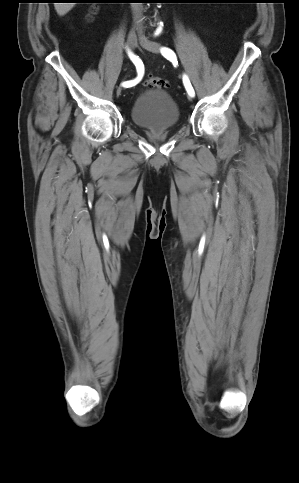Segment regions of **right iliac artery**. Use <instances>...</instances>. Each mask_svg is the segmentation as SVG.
Returning <instances> with one entry per match:
<instances>
[{
	"label": "right iliac artery",
	"mask_w": 299,
	"mask_h": 483,
	"mask_svg": "<svg viewBox=\"0 0 299 483\" xmlns=\"http://www.w3.org/2000/svg\"><path fill=\"white\" fill-rule=\"evenodd\" d=\"M129 57L132 60V62L135 64L137 72H138V77L135 78L134 80L126 81L122 83V86L124 87H132L135 86L136 84L139 83V81L142 79L143 73H144V66L142 61L139 59L138 56L134 55L133 53L129 52Z\"/></svg>",
	"instance_id": "right-iliac-artery-1"
}]
</instances>
